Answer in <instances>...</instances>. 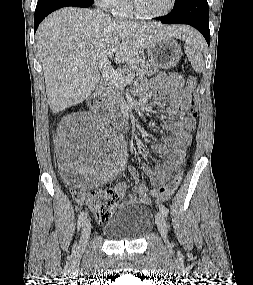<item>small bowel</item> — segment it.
I'll list each match as a JSON object with an SVG mask.
<instances>
[{
    "label": "small bowel",
    "mask_w": 253,
    "mask_h": 285,
    "mask_svg": "<svg viewBox=\"0 0 253 285\" xmlns=\"http://www.w3.org/2000/svg\"><path fill=\"white\" fill-rule=\"evenodd\" d=\"M133 92L138 97L161 95L169 99L166 112L171 115L172 120L162 124V127L171 134L164 138L163 144L152 146V152L163 157L164 161L158 163L153 170L147 165L142 167L151 184L159 189L166 185L172 174L180 168L192 141L191 132L195 127V120L185 115V103L189 99V93L183 88V78L179 74H158L149 79H141L136 83ZM154 112L161 113L159 110ZM66 150L67 147L63 146V151ZM130 174L134 182V194L129 195L130 203L149 205L154 201H166L173 194L157 192V189L149 192L147 185L139 182L134 168H130ZM114 189L123 194L126 183L117 182Z\"/></svg>",
    "instance_id": "obj_1"
}]
</instances>
